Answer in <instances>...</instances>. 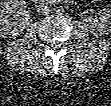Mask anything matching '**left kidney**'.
<instances>
[{"label":"left kidney","instance_id":"obj_1","mask_svg":"<svg viewBox=\"0 0 111 106\" xmlns=\"http://www.w3.org/2000/svg\"><path fill=\"white\" fill-rule=\"evenodd\" d=\"M90 29L94 33L109 34L111 33V10L104 8L103 15L98 19H94L90 25Z\"/></svg>","mask_w":111,"mask_h":106}]
</instances>
